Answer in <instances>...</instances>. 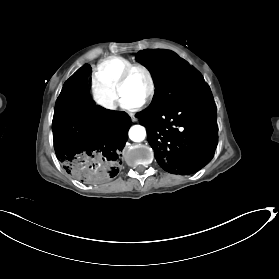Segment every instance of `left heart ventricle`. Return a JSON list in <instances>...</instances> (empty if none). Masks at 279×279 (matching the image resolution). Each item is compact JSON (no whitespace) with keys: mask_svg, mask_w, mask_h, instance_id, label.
<instances>
[{"mask_svg":"<svg viewBox=\"0 0 279 279\" xmlns=\"http://www.w3.org/2000/svg\"><path fill=\"white\" fill-rule=\"evenodd\" d=\"M149 90V81L141 71H134L123 92L122 100L131 103H141Z\"/></svg>","mask_w":279,"mask_h":279,"instance_id":"1","label":"left heart ventricle"}]
</instances>
